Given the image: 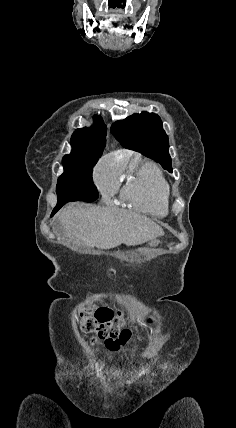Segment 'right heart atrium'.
I'll list each match as a JSON object with an SVG mask.
<instances>
[{
  "label": "right heart atrium",
  "instance_id": "d8ad5b80",
  "mask_svg": "<svg viewBox=\"0 0 236 428\" xmlns=\"http://www.w3.org/2000/svg\"><path fill=\"white\" fill-rule=\"evenodd\" d=\"M94 183L104 200H109L118 190L117 175L108 162H100L94 170Z\"/></svg>",
  "mask_w": 236,
  "mask_h": 428
}]
</instances>
